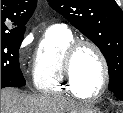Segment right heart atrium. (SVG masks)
Returning a JSON list of instances; mask_svg holds the SVG:
<instances>
[{
  "label": "right heart atrium",
  "instance_id": "right-heart-atrium-1",
  "mask_svg": "<svg viewBox=\"0 0 123 113\" xmlns=\"http://www.w3.org/2000/svg\"><path fill=\"white\" fill-rule=\"evenodd\" d=\"M27 45H28V41L27 40H24L21 43L20 50L23 51L26 48Z\"/></svg>",
  "mask_w": 123,
  "mask_h": 113
}]
</instances>
